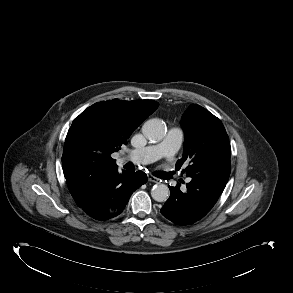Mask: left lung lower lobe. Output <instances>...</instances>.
I'll return each mask as SVG.
<instances>
[{
	"label": "left lung lower lobe",
	"instance_id": "left-lung-lower-lobe-1",
	"mask_svg": "<svg viewBox=\"0 0 293 293\" xmlns=\"http://www.w3.org/2000/svg\"><path fill=\"white\" fill-rule=\"evenodd\" d=\"M226 183L205 177H192L185 190L180 184L170 189V197L161 209L164 217L178 225H189L203 218L214 206Z\"/></svg>",
	"mask_w": 293,
	"mask_h": 293
}]
</instances>
